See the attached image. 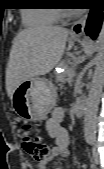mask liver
I'll return each instance as SVG.
<instances>
[{
  "label": "liver",
  "mask_w": 104,
  "mask_h": 169,
  "mask_svg": "<svg viewBox=\"0 0 104 169\" xmlns=\"http://www.w3.org/2000/svg\"><path fill=\"white\" fill-rule=\"evenodd\" d=\"M69 31L59 26H36L20 31L13 40L6 69V90L11 99L25 80L49 73L61 60Z\"/></svg>",
  "instance_id": "obj_1"
}]
</instances>
